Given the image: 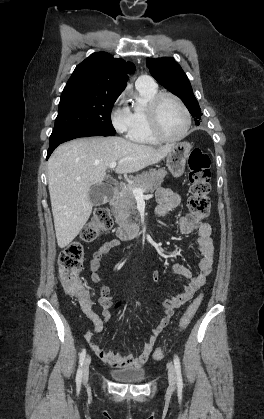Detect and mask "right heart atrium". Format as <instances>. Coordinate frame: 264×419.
Wrapping results in <instances>:
<instances>
[{
	"mask_svg": "<svg viewBox=\"0 0 264 419\" xmlns=\"http://www.w3.org/2000/svg\"><path fill=\"white\" fill-rule=\"evenodd\" d=\"M122 96H120L115 102L114 108L111 113V121L115 130L120 134L128 133L131 117L127 109L120 108Z\"/></svg>",
	"mask_w": 264,
	"mask_h": 419,
	"instance_id": "d8ad5b80",
	"label": "right heart atrium"
}]
</instances>
